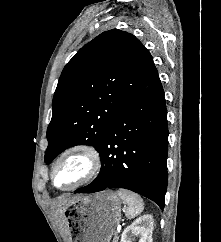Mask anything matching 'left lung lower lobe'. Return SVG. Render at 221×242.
<instances>
[{"instance_id": "0a47b994", "label": "left lung lower lobe", "mask_w": 221, "mask_h": 242, "mask_svg": "<svg viewBox=\"0 0 221 242\" xmlns=\"http://www.w3.org/2000/svg\"><path fill=\"white\" fill-rule=\"evenodd\" d=\"M167 109L159 75L135 97L107 129L99 153L97 178L74 193L124 188L165 206L168 154Z\"/></svg>"}]
</instances>
